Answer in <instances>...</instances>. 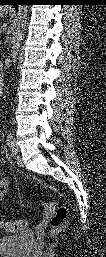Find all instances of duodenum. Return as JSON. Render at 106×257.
<instances>
[{
	"label": "duodenum",
	"mask_w": 106,
	"mask_h": 257,
	"mask_svg": "<svg viewBox=\"0 0 106 257\" xmlns=\"http://www.w3.org/2000/svg\"><path fill=\"white\" fill-rule=\"evenodd\" d=\"M2 87H3V83L2 81H0V90H2Z\"/></svg>",
	"instance_id": "1"
}]
</instances>
